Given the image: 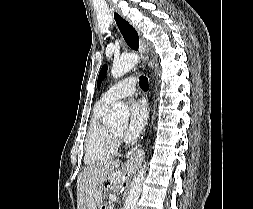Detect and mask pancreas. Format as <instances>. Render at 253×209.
<instances>
[{
  "label": "pancreas",
  "instance_id": "cf45deb5",
  "mask_svg": "<svg viewBox=\"0 0 253 209\" xmlns=\"http://www.w3.org/2000/svg\"><path fill=\"white\" fill-rule=\"evenodd\" d=\"M109 206H110V205L108 204V206H107V208H108V209H110V207H109Z\"/></svg>",
  "mask_w": 253,
  "mask_h": 209
}]
</instances>
